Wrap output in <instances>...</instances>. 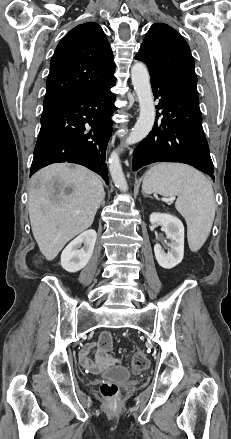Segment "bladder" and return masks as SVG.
<instances>
[{"mask_svg": "<svg viewBox=\"0 0 231 439\" xmlns=\"http://www.w3.org/2000/svg\"><path fill=\"white\" fill-rule=\"evenodd\" d=\"M103 376L109 380L122 381L128 379L131 376V374L127 368L122 366H117L105 371L103 373Z\"/></svg>", "mask_w": 231, "mask_h": 439, "instance_id": "1", "label": "bladder"}]
</instances>
